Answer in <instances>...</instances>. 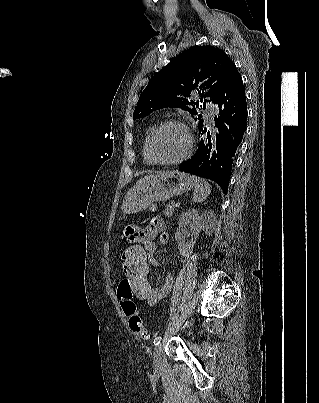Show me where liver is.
I'll list each match as a JSON object with an SVG mask.
<instances>
[{"label": "liver", "instance_id": "obj_1", "mask_svg": "<svg viewBox=\"0 0 319 403\" xmlns=\"http://www.w3.org/2000/svg\"><path fill=\"white\" fill-rule=\"evenodd\" d=\"M149 177H151V176H146L145 178L140 179V180L138 181V183H139V182H142L143 180H145V179H147V178H149Z\"/></svg>", "mask_w": 319, "mask_h": 403}]
</instances>
